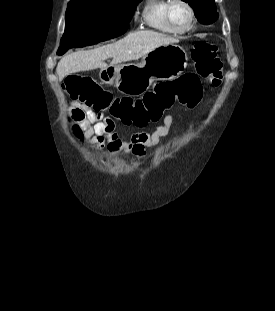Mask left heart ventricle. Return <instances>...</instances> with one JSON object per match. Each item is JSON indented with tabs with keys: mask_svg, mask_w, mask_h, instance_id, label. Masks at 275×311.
Segmentation results:
<instances>
[{
	"mask_svg": "<svg viewBox=\"0 0 275 311\" xmlns=\"http://www.w3.org/2000/svg\"><path fill=\"white\" fill-rule=\"evenodd\" d=\"M171 19L176 27L182 28L185 27L189 22V11L181 3H176L170 12Z\"/></svg>",
	"mask_w": 275,
	"mask_h": 311,
	"instance_id": "1",
	"label": "left heart ventricle"
}]
</instances>
